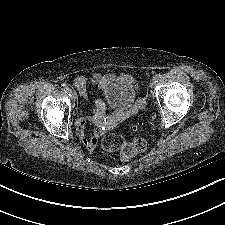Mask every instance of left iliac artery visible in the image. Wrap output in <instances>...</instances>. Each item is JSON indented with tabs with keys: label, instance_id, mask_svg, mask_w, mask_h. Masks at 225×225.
<instances>
[{
	"label": "left iliac artery",
	"instance_id": "obj_1",
	"mask_svg": "<svg viewBox=\"0 0 225 225\" xmlns=\"http://www.w3.org/2000/svg\"><path fill=\"white\" fill-rule=\"evenodd\" d=\"M154 78L158 81V80H160L162 78V75L160 73L159 74H156L154 76Z\"/></svg>",
	"mask_w": 225,
	"mask_h": 225
}]
</instances>
